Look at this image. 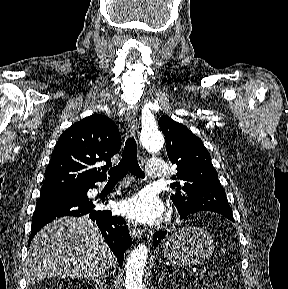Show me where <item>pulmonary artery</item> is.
Wrapping results in <instances>:
<instances>
[{"label":"pulmonary artery","instance_id":"1","mask_svg":"<svg viewBox=\"0 0 288 289\" xmlns=\"http://www.w3.org/2000/svg\"><path fill=\"white\" fill-rule=\"evenodd\" d=\"M165 163L160 159H149L145 166V173L151 178H162L165 176Z\"/></svg>","mask_w":288,"mask_h":289}]
</instances>
